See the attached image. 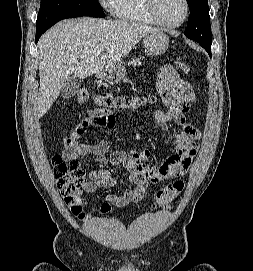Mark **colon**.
I'll use <instances>...</instances> for the list:
<instances>
[{"label": "colon", "instance_id": "colon-1", "mask_svg": "<svg viewBox=\"0 0 253 271\" xmlns=\"http://www.w3.org/2000/svg\"><path fill=\"white\" fill-rule=\"evenodd\" d=\"M177 66L187 72L188 64L178 58ZM191 87V86H190ZM75 99L79 103H85L89 99V91L86 87L81 86ZM98 109L94 112V116H102L112 110L128 109L135 106L136 102L125 96L103 95L96 98ZM52 165L57 186L64 197L66 205L76 214H81L82 196L89 191V182L85 178V171L80 166L77 159H64L59 155L53 157ZM184 189V182L181 180L172 182L160 189L156 194L154 208H163L174 200ZM107 206V205H104ZM120 204L118 207H123Z\"/></svg>", "mask_w": 253, "mask_h": 271}]
</instances>
